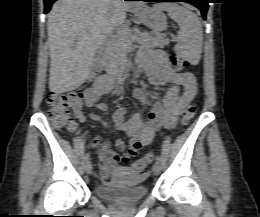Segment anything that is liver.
<instances>
[{
  "instance_id": "1",
  "label": "liver",
  "mask_w": 260,
  "mask_h": 217,
  "mask_svg": "<svg viewBox=\"0 0 260 217\" xmlns=\"http://www.w3.org/2000/svg\"><path fill=\"white\" fill-rule=\"evenodd\" d=\"M130 4L115 11L110 0H58L48 15L49 89L56 94L80 87L88 78L94 55L126 19Z\"/></svg>"
}]
</instances>
